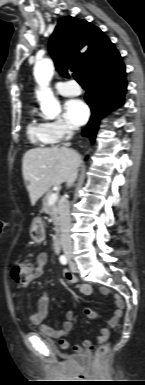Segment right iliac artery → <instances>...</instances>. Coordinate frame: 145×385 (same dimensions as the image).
I'll return each instance as SVG.
<instances>
[{"label":"right iliac artery","instance_id":"right-iliac-artery-1","mask_svg":"<svg viewBox=\"0 0 145 385\" xmlns=\"http://www.w3.org/2000/svg\"><path fill=\"white\" fill-rule=\"evenodd\" d=\"M60 262H61L63 265H66V264H67V258H66L64 255H61V256H60Z\"/></svg>","mask_w":145,"mask_h":385}]
</instances>
